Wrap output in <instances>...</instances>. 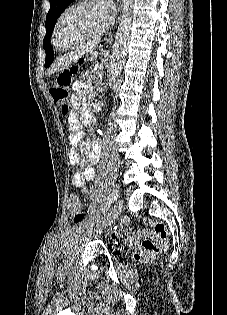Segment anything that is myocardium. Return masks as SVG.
Listing matches in <instances>:
<instances>
[{
  "label": "myocardium",
  "mask_w": 227,
  "mask_h": 315,
  "mask_svg": "<svg viewBox=\"0 0 227 315\" xmlns=\"http://www.w3.org/2000/svg\"><path fill=\"white\" fill-rule=\"evenodd\" d=\"M86 5H97L99 6V1L98 0H78L74 3H72L71 5H69L67 8H65L61 14L59 15V17L57 18L56 20V23L54 25V28H53V32H52V44L53 46L59 50V51H70V50H73V49H76V48H80V47H83L91 42H94L96 41L97 39H99L104 33L105 31L107 30L109 24H110V19L107 18L105 23L103 24L102 28L96 33L94 34L93 36L89 37L88 39L84 40V41H81L77 44H74V45H71V46H67V47H60L57 42H56V36H57V32H58V28L63 20V18L66 16V14L68 12H70L71 10H73L74 8H77V7H81V6H86Z\"/></svg>",
  "instance_id": "f54148a6"
}]
</instances>
